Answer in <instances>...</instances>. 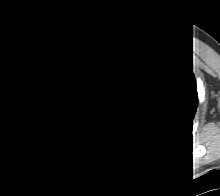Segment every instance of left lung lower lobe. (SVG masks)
I'll use <instances>...</instances> for the list:
<instances>
[{
	"mask_svg": "<svg viewBox=\"0 0 220 196\" xmlns=\"http://www.w3.org/2000/svg\"><path fill=\"white\" fill-rule=\"evenodd\" d=\"M142 144L147 152L160 151V150L167 148L166 146L158 144L157 142H155L152 138H150L147 135L144 136L142 140Z\"/></svg>",
	"mask_w": 220,
	"mask_h": 196,
	"instance_id": "1",
	"label": "left lung lower lobe"
}]
</instances>
